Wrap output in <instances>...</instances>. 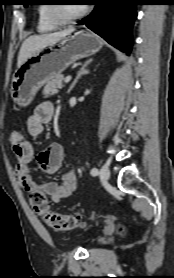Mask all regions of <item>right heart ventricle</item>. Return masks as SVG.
<instances>
[{"label":"right heart ventricle","mask_w":174,"mask_h":278,"mask_svg":"<svg viewBox=\"0 0 174 278\" xmlns=\"http://www.w3.org/2000/svg\"><path fill=\"white\" fill-rule=\"evenodd\" d=\"M48 10V4H41L37 8V29L39 32H51L59 26L51 20Z\"/></svg>","instance_id":"1"}]
</instances>
